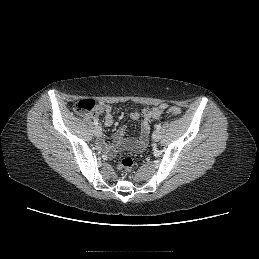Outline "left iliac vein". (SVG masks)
<instances>
[{"mask_svg": "<svg viewBox=\"0 0 259 259\" xmlns=\"http://www.w3.org/2000/svg\"><path fill=\"white\" fill-rule=\"evenodd\" d=\"M160 138H161L160 132L158 130L154 131L152 134L153 141L158 142Z\"/></svg>", "mask_w": 259, "mask_h": 259, "instance_id": "1", "label": "left iliac vein"}]
</instances>
